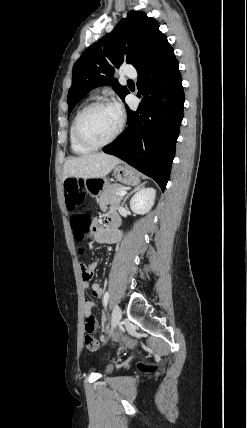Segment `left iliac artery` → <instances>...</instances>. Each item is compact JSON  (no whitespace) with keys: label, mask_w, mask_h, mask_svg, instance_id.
I'll use <instances>...</instances> for the list:
<instances>
[{"label":"left iliac artery","mask_w":247,"mask_h":428,"mask_svg":"<svg viewBox=\"0 0 247 428\" xmlns=\"http://www.w3.org/2000/svg\"><path fill=\"white\" fill-rule=\"evenodd\" d=\"M108 300H109V292H105L104 297H103V305L105 308L107 307Z\"/></svg>","instance_id":"left-iliac-artery-1"}]
</instances>
